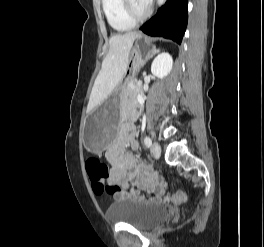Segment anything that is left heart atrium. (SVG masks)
<instances>
[{"instance_id":"left-heart-atrium-1","label":"left heart atrium","mask_w":264,"mask_h":247,"mask_svg":"<svg viewBox=\"0 0 264 247\" xmlns=\"http://www.w3.org/2000/svg\"><path fill=\"white\" fill-rule=\"evenodd\" d=\"M141 3H143L144 5L148 6L151 2V0H140Z\"/></svg>"}]
</instances>
